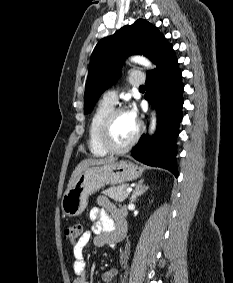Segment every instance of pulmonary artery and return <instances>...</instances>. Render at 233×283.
<instances>
[{
  "mask_svg": "<svg viewBox=\"0 0 233 283\" xmlns=\"http://www.w3.org/2000/svg\"><path fill=\"white\" fill-rule=\"evenodd\" d=\"M144 81V76L141 73H133L129 79V82L132 86H141ZM102 101L111 105H115L118 101V92L115 90L106 92L103 95Z\"/></svg>",
  "mask_w": 233,
  "mask_h": 283,
  "instance_id": "e3ab8cb5",
  "label": "pulmonary artery"
}]
</instances>
